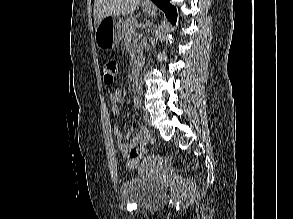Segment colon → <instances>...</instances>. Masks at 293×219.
<instances>
[{"label": "colon", "instance_id": "1", "mask_svg": "<svg viewBox=\"0 0 293 219\" xmlns=\"http://www.w3.org/2000/svg\"><path fill=\"white\" fill-rule=\"evenodd\" d=\"M118 72V63L114 57H106L104 59V82L111 85ZM153 136L146 130L140 145L132 148L129 152L128 167L133 168L136 166L139 159L146 153L147 149L153 144Z\"/></svg>", "mask_w": 293, "mask_h": 219}]
</instances>
